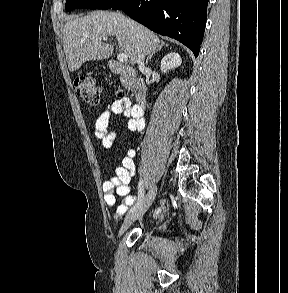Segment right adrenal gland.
Listing matches in <instances>:
<instances>
[{"label":"right adrenal gland","mask_w":288,"mask_h":293,"mask_svg":"<svg viewBox=\"0 0 288 293\" xmlns=\"http://www.w3.org/2000/svg\"><path fill=\"white\" fill-rule=\"evenodd\" d=\"M168 45L167 44H164L163 42L161 43V47H167ZM161 47L157 50L159 51L161 49ZM153 54L147 56V59H146V64H148V62L151 60Z\"/></svg>","instance_id":"right-adrenal-gland-1"}]
</instances>
